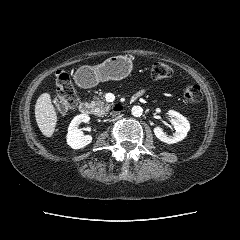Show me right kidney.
Segmentation results:
<instances>
[{"mask_svg":"<svg viewBox=\"0 0 240 240\" xmlns=\"http://www.w3.org/2000/svg\"><path fill=\"white\" fill-rule=\"evenodd\" d=\"M90 121V117L87 114H80L75 116L69 127L67 134V144L73 149H80L92 142V137L89 135L84 136L83 132L78 129V126L81 123H88Z\"/></svg>","mask_w":240,"mask_h":240,"instance_id":"obj_1","label":"right kidney"}]
</instances>
